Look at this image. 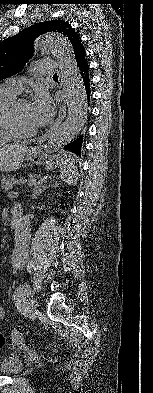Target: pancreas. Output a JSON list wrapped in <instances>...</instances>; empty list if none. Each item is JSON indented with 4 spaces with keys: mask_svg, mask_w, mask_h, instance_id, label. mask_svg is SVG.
I'll list each match as a JSON object with an SVG mask.
<instances>
[{
    "mask_svg": "<svg viewBox=\"0 0 153 393\" xmlns=\"http://www.w3.org/2000/svg\"><path fill=\"white\" fill-rule=\"evenodd\" d=\"M15 183H16L15 177L9 176V177L3 178L1 180L0 187L4 191H7V190L11 189Z\"/></svg>",
    "mask_w": 153,
    "mask_h": 393,
    "instance_id": "obj_1",
    "label": "pancreas"
}]
</instances>
